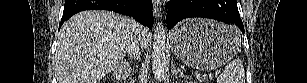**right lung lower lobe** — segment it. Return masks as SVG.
Listing matches in <instances>:
<instances>
[{"label": "right lung lower lobe", "mask_w": 307, "mask_h": 83, "mask_svg": "<svg viewBox=\"0 0 307 83\" xmlns=\"http://www.w3.org/2000/svg\"><path fill=\"white\" fill-rule=\"evenodd\" d=\"M83 10H110L133 16L150 29L153 26L152 0H66L59 27L72 15Z\"/></svg>", "instance_id": "1"}]
</instances>
